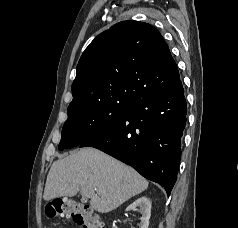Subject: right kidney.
<instances>
[{"mask_svg":"<svg viewBox=\"0 0 238 228\" xmlns=\"http://www.w3.org/2000/svg\"><path fill=\"white\" fill-rule=\"evenodd\" d=\"M136 208H139L142 217L140 218L139 228H148L149 219L151 215V201L147 197H140L132 204H130L126 211H131Z\"/></svg>","mask_w":238,"mask_h":228,"instance_id":"right-kidney-1","label":"right kidney"}]
</instances>
